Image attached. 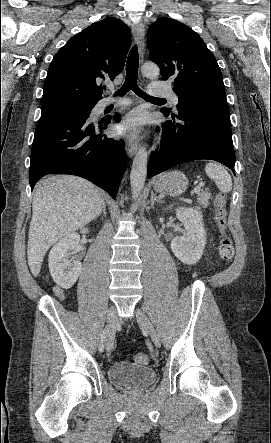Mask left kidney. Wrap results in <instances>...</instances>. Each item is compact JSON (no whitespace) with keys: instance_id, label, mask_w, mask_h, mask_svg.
Listing matches in <instances>:
<instances>
[{"instance_id":"left-kidney-1","label":"left kidney","mask_w":271,"mask_h":443,"mask_svg":"<svg viewBox=\"0 0 271 443\" xmlns=\"http://www.w3.org/2000/svg\"><path fill=\"white\" fill-rule=\"evenodd\" d=\"M202 212L193 208H178L176 216L184 223L187 235H176L170 245L171 249L183 263H197L199 261L206 243V231L202 222Z\"/></svg>"}]
</instances>
